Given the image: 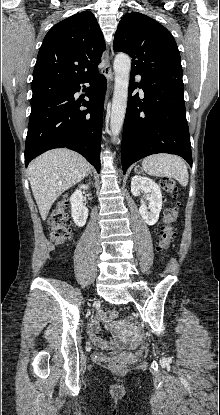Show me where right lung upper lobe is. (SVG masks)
I'll list each match as a JSON object with an SVG mask.
<instances>
[{
    "instance_id": "obj_1",
    "label": "right lung upper lobe",
    "mask_w": 220,
    "mask_h": 415,
    "mask_svg": "<svg viewBox=\"0 0 220 415\" xmlns=\"http://www.w3.org/2000/svg\"><path fill=\"white\" fill-rule=\"evenodd\" d=\"M105 50L102 31L90 11L75 14L54 25L39 49L32 83H71L98 72Z\"/></svg>"
}]
</instances>
